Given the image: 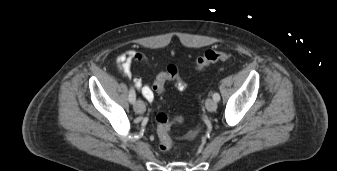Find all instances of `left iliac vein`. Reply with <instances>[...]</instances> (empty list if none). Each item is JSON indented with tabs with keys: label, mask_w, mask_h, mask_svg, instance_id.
<instances>
[{
	"label": "left iliac vein",
	"mask_w": 337,
	"mask_h": 171,
	"mask_svg": "<svg viewBox=\"0 0 337 171\" xmlns=\"http://www.w3.org/2000/svg\"><path fill=\"white\" fill-rule=\"evenodd\" d=\"M205 105H206L207 110L210 112H213L217 109V103L213 99H210V98L207 99Z\"/></svg>",
	"instance_id": "4c4485c4"
}]
</instances>
